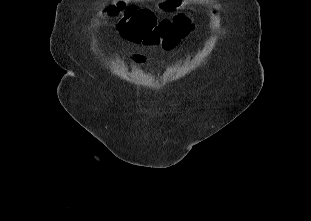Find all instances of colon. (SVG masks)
I'll return each mask as SVG.
<instances>
[{
	"label": "colon",
	"instance_id": "5ec220e1",
	"mask_svg": "<svg viewBox=\"0 0 311 221\" xmlns=\"http://www.w3.org/2000/svg\"><path fill=\"white\" fill-rule=\"evenodd\" d=\"M112 9L111 17H122L121 22L125 23L118 27L119 32H122V39H133L147 47L170 50L193 29L184 14H179L173 19L164 18L157 23L147 8L114 1ZM103 14L106 16L108 13L105 11Z\"/></svg>",
	"mask_w": 311,
	"mask_h": 221
}]
</instances>
